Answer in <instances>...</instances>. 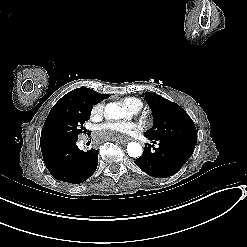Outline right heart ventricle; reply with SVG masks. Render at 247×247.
<instances>
[{"instance_id":"obj_1","label":"right heart ventricle","mask_w":247,"mask_h":247,"mask_svg":"<svg viewBox=\"0 0 247 247\" xmlns=\"http://www.w3.org/2000/svg\"><path fill=\"white\" fill-rule=\"evenodd\" d=\"M121 104L128 110L130 115L138 112L143 106V103L139 99L130 97L121 99Z\"/></svg>"}]
</instances>
